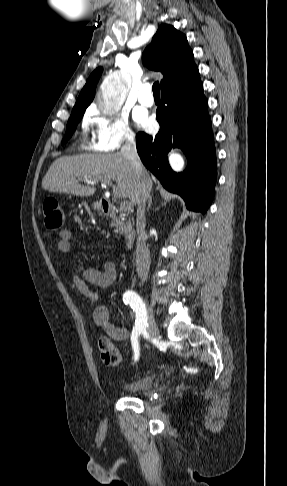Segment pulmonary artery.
Segmentation results:
<instances>
[{
  "label": "pulmonary artery",
  "instance_id": "pulmonary-artery-1",
  "mask_svg": "<svg viewBox=\"0 0 287 486\" xmlns=\"http://www.w3.org/2000/svg\"><path fill=\"white\" fill-rule=\"evenodd\" d=\"M137 99L141 105L150 107L154 104V98L151 93L150 84H143L138 92Z\"/></svg>",
  "mask_w": 287,
  "mask_h": 486
}]
</instances>
